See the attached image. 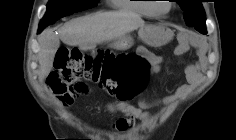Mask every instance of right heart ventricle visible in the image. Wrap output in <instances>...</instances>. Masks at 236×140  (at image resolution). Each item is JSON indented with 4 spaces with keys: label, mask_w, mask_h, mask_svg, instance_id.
Listing matches in <instances>:
<instances>
[{
    "label": "right heart ventricle",
    "mask_w": 236,
    "mask_h": 140,
    "mask_svg": "<svg viewBox=\"0 0 236 140\" xmlns=\"http://www.w3.org/2000/svg\"><path fill=\"white\" fill-rule=\"evenodd\" d=\"M150 0H114V7L120 11L132 12L143 17H154L152 5L146 3Z\"/></svg>",
    "instance_id": "right-heart-ventricle-1"
}]
</instances>
